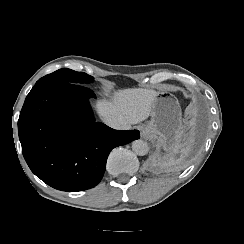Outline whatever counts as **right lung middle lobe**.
<instances>
[{"mask_svg": "<svg viewBox=\"0 0 244 244\" xmlns=\"http://www.w3.org/2000/svg\"><path fill=\"white\" fill-rule=\"evenodd\" d=\"M93 77L83 73V72H76L67 68H63L57 70L49 75H46L40 78L36 85H41L44 83H62L68 82L73 84H86L93 81Z\"/></svg>", "mask_w": 244, "mask_h": 244, "instance_id": "dd1d6c3e", "label": "right lung middle lobe"}]
</instances>
